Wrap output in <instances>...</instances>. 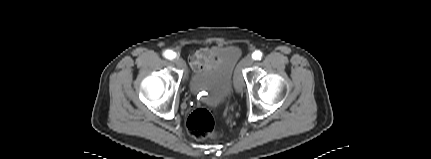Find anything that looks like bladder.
<instances>
[{"mask_svg":"<svg viewBox=\"0 0 431 159\" xmlns=\"http://www.w3.org/2000/svg\"><path fill=\"white\" fill-rule=\"evenodd\" d=\"M240 55L236 46L219 48L218 61L214 65L191 75L190 92L208 106L225 104L233 92L234 70Z\"/></svg>","mask_w":431,"mask_h":159,"instance_id":"31cf9c89","label":"bladder"}]
</instances>
